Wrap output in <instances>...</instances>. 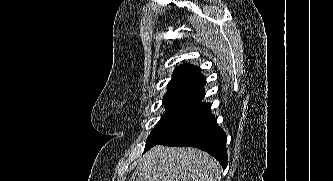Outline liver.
Instances as JSON below:
<instances>
[{
    "label": "liver",
    "mask_w": 333,
    "mask_h": 181,
    "mask_svg": "<svg viewBox=\"0 0 333 181\" xmlns=\"http://www.w3.org/2000/svg\"><path fill=\"white\" fill-rule=\"evenodd\" d=\"M215 158L196 148L157 145L138 159L129 181H221Z\"/></svg>",
    "instance_id": "1"
}]
</instances>
